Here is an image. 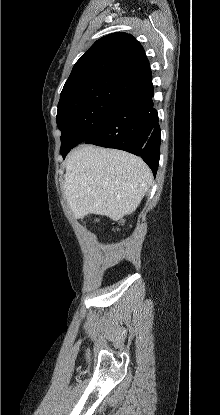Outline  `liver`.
Returning a JSON list of instances; mask_svg holds the SVG:
<instances>
[{"instance_id": "obj_1", "label": "liver", "mask_w": 220, "mask_h": 415, "mask_svg": "<svg viewBox=\"0 0 220 415\" xmlns=\"http://www.w3.org/2000/svg\"><path fill=\"white\" fill-rule=\"evenodd\" d=\"M65 166L64 194L75 218L95 214L118 221L138 207L152 182L141 158L116 149L82 145Z\"/></svg>"}]
</instances>
